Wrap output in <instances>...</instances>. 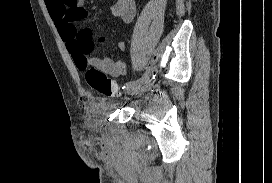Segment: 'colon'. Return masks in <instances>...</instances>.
<instances>
[{"label": "colon", "mask_w": 272, "mask_h": 183, "mask_svg": "<svg viewBox=\"0 0 272 183\" xmlns=\"http://www.w3.org/2000/svg\"><path fill=\"white\" fill-rule=\"evenodd\" d=\"M86 81L89 86L105 97H112L119 93L118 86L103 72L89 67L86 70Z\"/></svg>", "instance_id": "colon-1"}]
</instances>
